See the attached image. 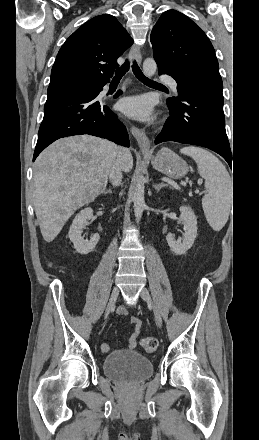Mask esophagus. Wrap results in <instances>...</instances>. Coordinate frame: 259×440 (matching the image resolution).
<instances>
[{
  "mask_svg": "<svg viewBox=\"0 0 259 440\" xmlns=\"http://www.w3.org/2000/svg\"><path fill=\"white\" fill-rule=\"evenodd\" d=\"M130 60H131V66L133 64V61H136L139 65L141 64V61H142L141 49L136 44H134L131 47ZM130 130H131L132 134L134 135V137L136 138L141 152L143 154H149L151 152L150 151V141H149V138L147 137L145 131L143 129H139V128L135 127L134 125H131Z\"/></svg>",
  "mask_w": 259,
  "mask_h": 440,
  "instance_id": "esophagus-1",
  "label": "esophagus"
}]
</instances>
